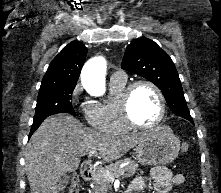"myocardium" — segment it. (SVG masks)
Segmentation results:
<instances>
[{
    "label": "myocardium",
    "instance_id": "myocardium-1",
    "mask_svg": "<svg viewBox=\"0 0 221 193\" xmlns=\"http://www.w3.org/2000/svg\"><path fill=\"white\" fill-rule=\"evenodd\" d=\"M141 85H146L150 87L156 93L160 104V111L158 117L154 122L150 124L138 123L133 118L131 113L130 103L133 91L135 90L136 87ZM119 107L125 123L131 128L141 129V130H150L158 127L162 123L166 114V102L163 92L154 82L147 79H139L126 85L119 97Z\"/></svg>",
    "mask_w": 221,
    "mask_h": 193
}]
</instances>
